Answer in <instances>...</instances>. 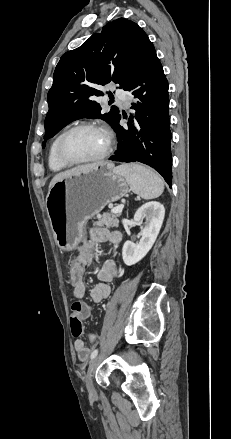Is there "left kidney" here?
I'll list each match as a JSON object with an SVG mask.
<instances>
[{"label": "left kidney", "instance_id": "1", "mask_svg": "<svg viewBox=\"0 0 231 439\" xmlns=\"http://www.w3.org/2000/svg\"><path fill=\"white\" fill-rule=\"evenodd\" d=\"M164 216L165 208L157 201L147 202L136 211L134 222L140 226L142 237L138 244L131 241L124 243L122 257L126 265L136 264L150 251L160 232Z\"/></svg>", "mask_w": 231, "mask_h": 439}]
</instances>
